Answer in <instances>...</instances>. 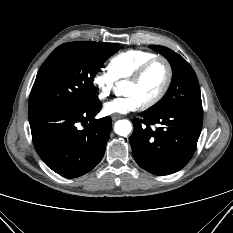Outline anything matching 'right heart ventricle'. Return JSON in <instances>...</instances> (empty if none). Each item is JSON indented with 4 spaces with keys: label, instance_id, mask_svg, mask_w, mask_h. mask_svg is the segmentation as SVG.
<instances>
[{
    "label": "right heart ventricle",
    "instance_id": "1",
    "mask_svg": "<svg viewBox=\"0 0 233 233\" xmlns=\"http://www.w3.org/2000/svg\"><path fill=\"white\" fill-rule=\"evenodd\" d=\"M157 56L155 53L130 49L118 53L108 63V70L115 81L126 80L147 60Z\"/></svg>",
    "mask_w": 233,
    "mask_h": 233
}]
</instances>
